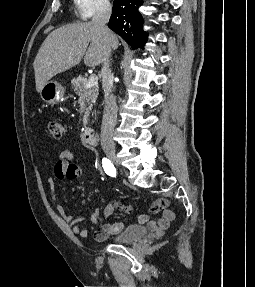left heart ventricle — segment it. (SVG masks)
I'll return each instance as SVG.
<instances>
[{"label":"left heart ventricle","instance_id":"left-heart-ventricle-1","mask_svg":"<svg viewBox=\"0 0 255 287\" xmlns=\"http://www.w3.org/2000/svg\"><path fill=\"white\" fill-rule=\"evenodd\" d=\"M92 33H99V32H92ZM90 39H100V38H90ZM88 48H98V47H88Z\"/></svg>","mask_w":255,"mask_h":287}]
</instances>
